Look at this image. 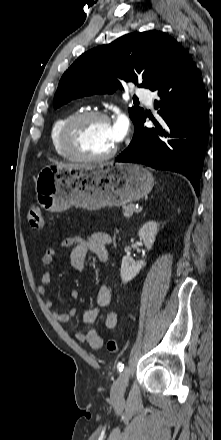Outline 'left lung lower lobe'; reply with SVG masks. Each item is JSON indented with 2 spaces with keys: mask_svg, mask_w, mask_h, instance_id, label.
Listing matches in <instances>:
<instances>
[{
  "mask_svg": "<svg viewBox=\"0 0 221 440\" xmlns=\"http://www.w3.org/2000/svg\"><path fill=\"white\" fill-rule=\"evenodd\" d=\"M159 100L156 128L144 127L145 115L134 128L129 146L116 162L141 163L187 177L199 195V180L207 146V94L196 66L183 49L171 68L151 88Z\"/></svg>",
  "mask_w": 221,
  "mask_h": 440,
  "instance_id": "0a47b994",
  "label": "left lung lower lobe"
}]
</instances>
